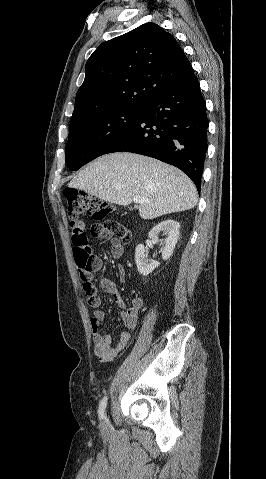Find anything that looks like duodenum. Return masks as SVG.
Listing matches in <instances>:
<instances>
[{"instance_id":"410a0bca","label":"duodenum","mask_w":266,"mask_h":479,"mask_svg":"<svg viewBox=\"0 0 266 479\" xmlns=\"http://www.w3.org/2000/svg\"><path fill=\"white\" fill-rule=\"evenodd\" d=\"M120 249H121L120 247H118V246H115V247L112 249V253H113V255H118V254H119V252H120Z\"/></svg>"}]
</instances>
